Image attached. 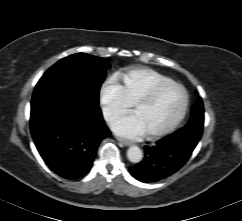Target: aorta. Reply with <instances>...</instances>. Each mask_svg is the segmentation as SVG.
Segmentation results:
<instances>
[{"label":"aorta","mask_w":242,"mask_h":221,"mask_svg":"<svg viewBox=\"0 0 242 221\" xmlns=\"http://www.w3.org/2000/svg\"><path fill=\"white\" fill-rule=\"evenodd\" d=\"M142 157L143 153L138 146H132L127 150V158L132 163H139Z\"/></svg>","instance_id":"aorta-1"}]
</instances>
